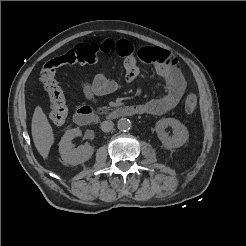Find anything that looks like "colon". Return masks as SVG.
I'll return each instance as SVG.
<instances>
[{
	"mask_svg": "<svg viewBox=\"0 0 246 246\" xmlns=\"http://www.w3.org/2000/svg\"><path fill=\"white\" fill-rule=\"evenodd\" d=\"M96 52L86 44L76 46L67 53L52 58L47 61L41 71L40 79L43 83L46 95L50 102L49 119L55 125L65 122L68 109L63 91L55 79V72L58 67L64 64H90L96 60ZM198 104L197 96L194 92H188L184 98V110L191 114L195 112Z\"/></svg>",
	"mask_w": 246,
	"mask_h": 246,
	"instance_id": "5ec220e1",
	"label": "colon"
}]
</instances>
